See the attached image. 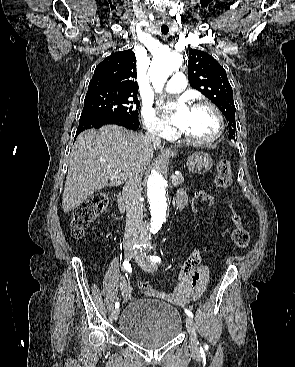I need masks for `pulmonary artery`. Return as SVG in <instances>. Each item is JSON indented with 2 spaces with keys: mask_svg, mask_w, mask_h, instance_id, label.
Instances as JSON below:
<instances>
[{
  "mask_svg": "<svg viewBox=\"0 0 295 367\" xmlns=\"http://www.w3.org/2000/svg\"><path fill=\"white\" fill-rule=\"evenodd\" d=\"M187 86L186 76L182 72H176L165 86L168 93H179Z\"/></svg>",
  "mask_w": 295,
  "mask_h": 367,
  "instance_id": "obj_1",
  "label": "pulmonary artery"
}]
</instances>
